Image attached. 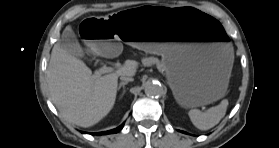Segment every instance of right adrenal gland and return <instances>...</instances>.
<instances>
[{
  "mask_svg": "<svg viewBox=\"0 0 279 148\" xmlns=\"http://www.w3.org/2000/svg\"><path fill=\"white\" fill-rule=\"evenodd\" d=\"M128 83V81H125V82H121L117 88V90L119 91L121 89V87H125V85ZM125 94V89L123 90L121 96H120V99L123 97V95Z\"/></svg>",
  "mask_w": 279,
  "mask_h": 148,
  "instance_id": "1",
  "label": "right adrenal gland"
}]
</instances>
